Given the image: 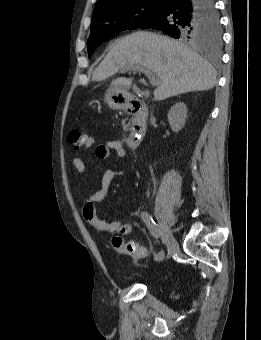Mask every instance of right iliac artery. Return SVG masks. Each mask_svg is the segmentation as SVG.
Wrapping results in <instances>:
<instances>
[{
    "mask_svg": "<svg viewBox=\"0 0 261 340\" xmlns=\"http://www.w3.org/2000/svg\"><path fill=\"white\" fill-rule=\"evenodd\" d=\"M141 218L143 222L146 224L147 228L149 229L151 235L155 239H159L161 232H160V229L158 228V225L155 223V221L151 217V215L148 212H142ZM163 258H164V251L160 250L154 255L153 261L155 263H159L163 260Z\"/></svg>",
    "mask_w": 261,
    "mask_h": 340,
    "instance_id": "right-iliac-artery-1",
    "label": "right iliac artery"
}]
</instances>
